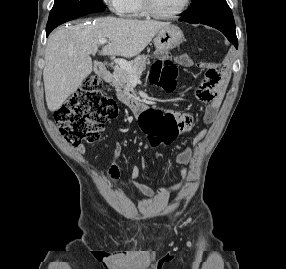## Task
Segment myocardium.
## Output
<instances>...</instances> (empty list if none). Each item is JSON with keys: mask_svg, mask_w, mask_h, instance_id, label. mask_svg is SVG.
I'll return each instance as SVG.
<instances>
[{"mask_svg": "<svg viewBox=\"0 0 286 269\" xmlns=\"http://www.w3.org/2000/svg\"><path fill=\"white\" fill-rule=\"evenodd\" d=\"M142 9L145 13V15H148L154 19H172L179 15H181L190 5L191 0H184L183 4L179 9H177L174 12L168 13V14H161L158 13L153 5L151 0H140Z\"/></svg>", "mask_w": 286, "mask_h": 269, "instance_id": "f54148a6", "label": "myocardium"}]
</instances>
